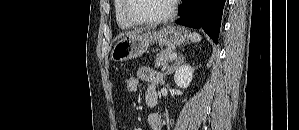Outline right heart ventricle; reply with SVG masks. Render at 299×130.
Listing matches in <instances>:
<instances>
[{"mask_svg": "<svg viewBox=\"0 0 299 130\" xmlns=\"http://www.w3.org/2000/svg\"><path fill=\"white\" fill-rule=\"evenodd\" d=\"M123 8H124V0H115L114 1V13L116 23L121 29H131L134 27L133 24L129 23L124 15H123Z\"/></svg>", "mask_w": 299, "mask_h": 130, "instance_id": "e07e8e85", "label": "right heart ventricle"}]
</instances>
